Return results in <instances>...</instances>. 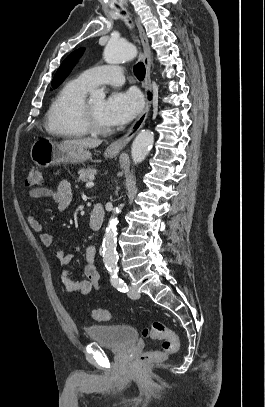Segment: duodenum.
Returning a JSON list of instances; mask_svg holds the SVG:
<instances>
[{
    "instance_id": "410a0bca",
    "label": "duodenum",
    "mask_w": 265,
    "mask_h": 407,
    "mask_svg": "<svg viewBox=\"0 0 265 407\" xmlns=\"http://www.w3.org/2000/svg\"><path fill=\"white\" fill-rule=\"evenodd\" d=\"M105 219V210L101 204H95L89 214V224L92 228L98 229Z\"/></svg>"
}]
</instances>
